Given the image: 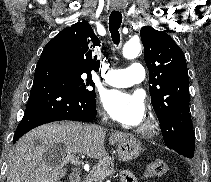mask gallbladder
I'll return each mask as SVG.
<instances>
[{"instance_id": "bac80fb5", "label": "gallbladder", "mask_w": 211, "mask_h": 182, "mask_svg": "<svg viewBox=\"0 0 211 182\" xmlns=\"http://www.w3.org/2000/svg\"><path fill=\"white\" fill-rule=\"evenodd\" d=\"M61 147L60 145H56L55 147L51 148L46 154V160L51 159L54 155L60 153Z\"/></svg>"}]
</instances>
